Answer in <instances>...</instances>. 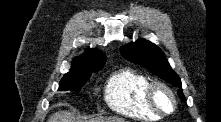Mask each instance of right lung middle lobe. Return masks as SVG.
<instances>
[{"label": "right lung middle lobe", "mask_w": 221, "mask_h": 122, "mask_svg": "<svg viewBox=\"0 0 221 122\" xmlns=\"http://www.w3.org/2000/svg\"><path fill=\"white\" fill-rule=\"evenodd\" d=\"M102 67L80 74H66L60 81L59 90L60 91H74L79 92L81 87L90 78L91 73L100 70Z\"/></svg>", "instance_id": "obj_1"}]
</instances>
